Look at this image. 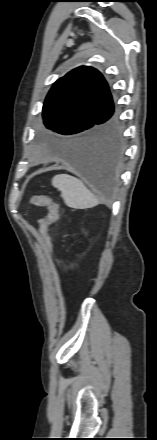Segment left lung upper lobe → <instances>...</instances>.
<instances>
[{
	"mask_svg": "<svg viewBox=\"0 0 157 440\" xmlns=\"http://www.w3.org/2000/svg\"><path fill=\"white\" fill-rule=\"evenodd\" d=\"M46 127L62 139H85L105 128L114 118L112 96L95 68L78 67L57 80L44 106Z\"/></svg>",
	"mask_w": 157,
	"mask_h": 440,
	"instance_id": "5c2ea615",
	"label": "left lung upper lobe"
}]
</instances>
